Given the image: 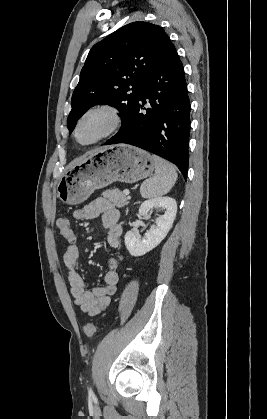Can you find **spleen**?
I'll list each match as a JSON object with an SVG mask.
<instances>
[{
	"instance_id": "3e777b00",
	"label": "spleen",
	"mask_w": 267,
	"mask_h": 419,
	"mask_svg": "<svg viewBox=\"0 0 267 419\" xmlns=\"http://www.w3.org/2000/svg\"><path fill=\"white\" fill-rule=\"evenodd\" d=\"M152 158L155 165V174L142 183L140 193L143 198H155L167 194L178 177L172 164L156 155H153Z\"/></svg>"
}]
</instances>
